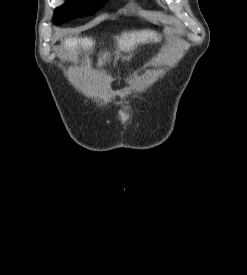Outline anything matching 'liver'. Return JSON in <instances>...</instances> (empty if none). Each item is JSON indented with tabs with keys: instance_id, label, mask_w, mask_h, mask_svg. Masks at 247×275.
<instances>
[{
	"instance_id": "6515ba94",
	"label": "liver",
	"mask_w": 247,
	"mask_h": 275,
	"mask_svg": "<svg viewBox=\"0 0 247 275\" xmlns=\"http://www.w3.org/2000/svg\"><path fill=\"white\" fill-rule=\"evenodd\" d=\"M118 42V48L122 51H130L135 49V47L142 43H148L149 41L156 40V32L151 30H142V31H131L124 32L121 36L116 37ZM95 42L91 38H68L64 41V45L68 50H75V48L79 45L87 51L90 50L94 46ZM89 63V60H87Z\"/></svg>"
}]
</instances>
